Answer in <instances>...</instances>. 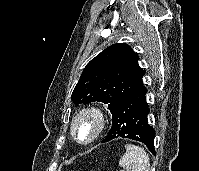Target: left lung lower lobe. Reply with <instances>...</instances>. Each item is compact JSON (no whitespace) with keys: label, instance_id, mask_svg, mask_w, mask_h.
Returning <instances> with one entry per match:
<instances>
[{"label":"left lung lower lobe","instance_id":"obj_1","mask_svg":"<svg viewBox=\"0 0 199 171\" xmlns=\"http://www.w3.org/2000/svg\"><path fill=\"white\" fill-rule=\"evenodd\" d=\"M147 89L141 82L112 113V127L107 137L102 141L108 142L114 138H129L146 144L155 154V131L148 124L147 115L150 110L146 102Z\"/></svg>","mask_w":199,"mask_h":171}]
</instances>
